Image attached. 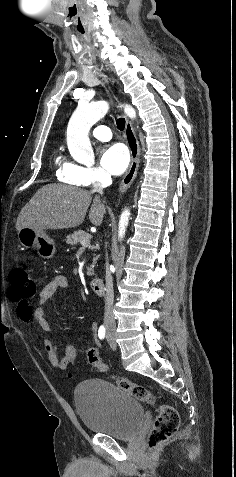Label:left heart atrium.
I'll use <instances>...</instances> for the list:
<instances>
[{
  "label": "left heart atrium",
  "mask_w": 236,
  "mask_h": 477,
  "mask_svg": "<svg viewBox=\"0 0 236 477\" xmlns=\"http://www.w3.org/2000/svg\"><path fill=\"white\" fill-rule=\"evenodd\" d=\"M130 155L122 144H113L106 147L101 155L102 166L113 175L122 174L129 165Z\"/></svg>",
  "instance_id": "obj_1"
}]
</instances>
